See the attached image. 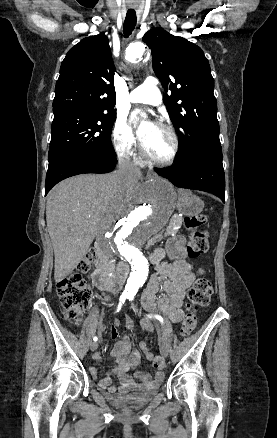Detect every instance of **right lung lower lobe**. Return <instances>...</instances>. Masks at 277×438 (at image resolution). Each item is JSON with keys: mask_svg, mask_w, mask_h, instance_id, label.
<instances>
[{"mask_svg": "<svg viewBox=\"0 0 277 438\" xmlns=\"http://www.w3.org/2000/svg\"><path fill=\"white\" fill-rule=\"evenodd\" d=\"M117 164L116 155L94 154L61 162L48 169L45 184V195L61 180L82 173H108Z\"/></svg>", "mask_w": 277, "mask_h": 438, "instance_id": "right-lung-lower-lobe-1", "label": "right lung lower lobe"}]
</instances>
